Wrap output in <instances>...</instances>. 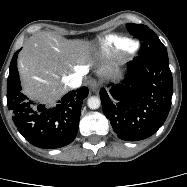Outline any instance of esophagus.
<instances>
[{"label": "esophagus", "mask_w": 187, "mask_h": 187, "mask_svg": "<svg viewBox=\"0 0 187 187\" xmlns=\"http://www.w3.org/2000/svg\"><path fill=\"white\" fill-rule=\"evenodd\" d=\"M89 87L92 91H97L100 87V83L97 80H90Z\"/></svg>", "instance_id": "1"}]
</instances>
